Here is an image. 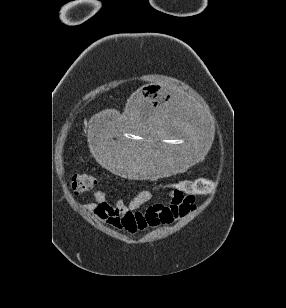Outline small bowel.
<instances>
[{
	"instance_id": "small-bowel-1",
	"label": "small bowel",
	"mask_w": 286,
	"mask_h": 308,
	"mask_svg": "<svg viewBox=\"0 0 286 308\" xmlns=\"http://www.w3.org/2000/svg\"><path fill=\"white\" fill-rule=\"evenodd\" d=\"M197 193L182 190L178 185L170 194L169 203L153 204L140 211V208L149 203L154 194L149 189L139 191L128 203L117 201L110 203L106 191L98 189L84 209L91 211L102 223L130 235H135L148 228L160 225H169L192 213L195 208Z\"/></svg>"
}]
</instances>
